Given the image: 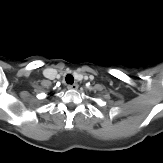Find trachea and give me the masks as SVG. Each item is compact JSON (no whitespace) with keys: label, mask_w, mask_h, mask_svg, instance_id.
Masks as SVG:
<instances>
[{"label":"trachea","mask_w":163,"mask_h":163,"mask_svg":"<svg viewBox=\"0 0 163 163\" xmlns=\"http://www.w3.org/2000/svg\"><path fill=\"white\" fill-rule=\"evenodd\" d=\"M67 84H73L74 83V77L71 74H68L65 78Z\"/></svg>","instance_id":"3493384b"}]
</instances>
